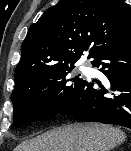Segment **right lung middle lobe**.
<instances>
[{
  "label": "right lung middle lobe",
  "instance_id": "obj_1",
  "mask_svg": "<svg viewBox=\"0 0 131 151\" xmlns=\"http://www.w3.org/2000/svg\"><path fill=\"white\" fill-rule=\"evenodd\" d=\"M73 68L74 65L59 68L14 89L11 95L13 124L21 126L58 114L83 81L79 75H69Z\"/></svg>",
  "mask_w": 131,
  "mask_h": 151
}]
</instances>
